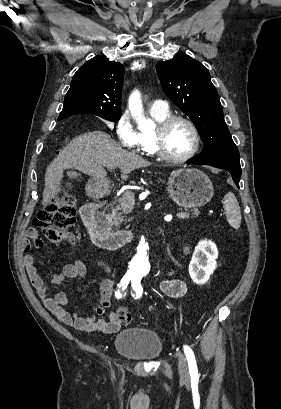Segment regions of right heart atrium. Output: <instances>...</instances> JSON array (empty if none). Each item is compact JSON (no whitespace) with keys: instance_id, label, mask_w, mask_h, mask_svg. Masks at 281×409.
Instances as JSON below:
<instances>
[{"instance_id":"right-heart-atrium-1","label":"right heart atrium","mask_w":281,"mask_h":409,"mask_svg":"<svg viewBox=\"0 0 281 409\" xmlns=\"http://www.w3.org/2000/svg\"><path fill=\"white\" fill-rule=\"evenodd\" d=\"M128 109V107H127ZM116 134L119 142L127 149L134 148L137 143V133L130 119H117L115 123Z\"/></svg>"}]
</instances>
